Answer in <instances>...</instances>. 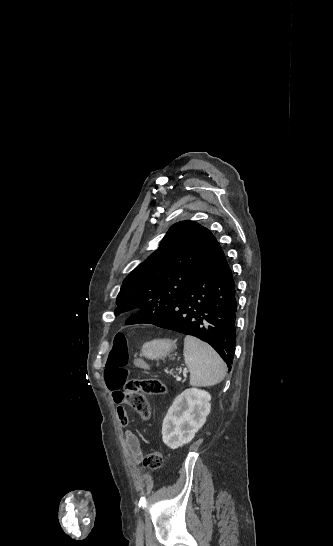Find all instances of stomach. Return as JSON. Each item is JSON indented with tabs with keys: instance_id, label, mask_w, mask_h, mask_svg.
I'll return each instance as SVG.
<instances>
[{
	"instance_id": "0dacf381",
	"label": "stomach",
	"mask_w": 333,
	"mask_h": 546,
	"mask_svg": "<svg viewBox=\"0 0 333 546\" xmlns=\"http://www.w3.org/2000/svg\"><path fill=\"white\" fill-rule=\"evenodd\" d=\"M175 346V341L155 339L142 346L141 355L152 360H159L170 354Z\"/></svg>"
}]
</instances>
